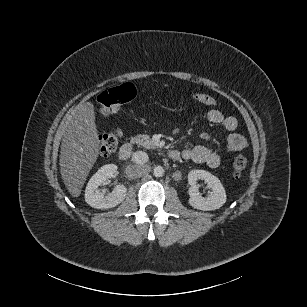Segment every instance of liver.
Wrapping results in <instances>:
<instances>
[{
  "label": "liver",
  "instance_id": "1",
  "mask_svg": "<svg viewBox=\"0 0 307 307\" xmlns=\"http://www.w3.org/2000/svg\"><path fill=\"white\" fill-rule=\"evenodd\" d=\"M62 125L64 138L59 159L60 173L69 193L79 197L99 155L94 105L91 102L77 105Z\"/></svg>",
  "mask_w": 307,
  "mask_h": 307
}]
</instances>
